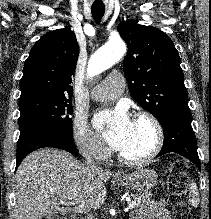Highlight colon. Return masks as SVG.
<instances>
[{"label": "colon", "mask_w": 211, "mask_h": 219, "mask_svg": "<svg viewBox=\"0 0 211 219\" xmlns=\"http://www.w3.org/2000/svg\"><path fill=\"white\" fill-rule=\"evenodd\" d=\"M189 165L178 161L167 174V187L170 193L169 202L172 207L173 219H192L191 210L186 201ZM42 219H68L56 215Z\"/></svg>", "instance_id": "1"}]
</instances>
